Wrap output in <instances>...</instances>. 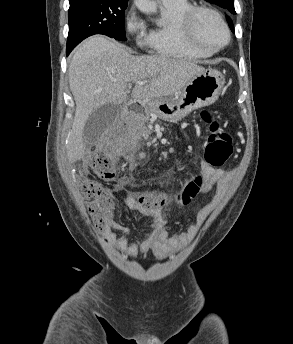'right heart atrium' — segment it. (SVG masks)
<instances>
[{
    "instance_id": "obj_1",
    "label": "right heart atrium",
    "mask_w": 293,
    "mask_h": 344,
    "mask_svg": "<svg viewBox=\"0 0 293 344\" xmlns=\"http://www.w3.org/2000/svg\"><path fill=\"white\" fill-rule=\"evenodd\" d=\"M124 28L128 35L137 39L138 43L142 42V36L146 26L143 19L137 14L134 8H130L124 16Z\"/></svg>"
}]
</instances>
